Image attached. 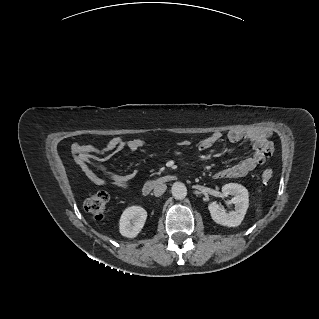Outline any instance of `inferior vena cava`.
I'll list each match as a JSON object with an SVG mask.
<instances>
[{
    "label": "inferior vena cava",
    "instance_id": "inferior-vena-cava-1",
    "mask_svg": "<svg viewBox=\"0 0 319 319\" xmlns=\"http://www.w3.org/2000/svg\"><path fill=\"white\" fill-rule=\"evenodd\" d=\"M166 189H167L166 184L160 183V184H158V185L155 186V188H154V195H155L156 197H159V196H161V195L166 191Z\"/></svg>",
    "mask_w": 319,
    "mask_h": 319
}]
</instances>
